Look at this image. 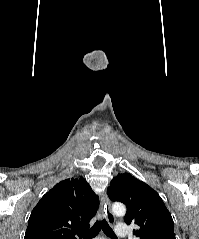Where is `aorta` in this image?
I'll return each mask as SVG.
<instances>
[{
	"label": "aorta",
	"mask_w": 199,
	"mask_h": 239,
	"mask_svg": "<svg viewBox=\"0 0 199 239\" xmlns=\"http://www.w3.org/2000/svg\"><path fill=\"white\" fill-rule=\"evenodd\" d=\"M112 211L114 214L122 216L126 213V207L122 203H114L112 205Z\"/></svg>",
	"instance_id": "obj_1"
}]
</instances>
